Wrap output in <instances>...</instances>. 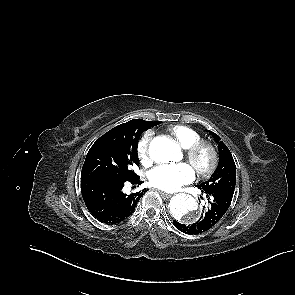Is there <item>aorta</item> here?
Returning a JSON list of instances; mask_svg holds the SVG:
<instances>
[{"label": "aorta", "mask_w": 295, "mask_h": 295, "mask_svg": "<svg viewBox=\"0 0 295 295\" xmlns=\"http://www.w3.org/2000/svg\"><path fill=\"white\" fill-rule=\"evenodd\" d=\"M150 157L159 163L177 161L181 157V148L173 139L160 136L152 140L149 146ZM171 215L178 221L194 222L197 219L198 204L188 194L180 193L172 197L169 203Z\"/></svg>", "instance_id": "obj_1"}]
</instances>
